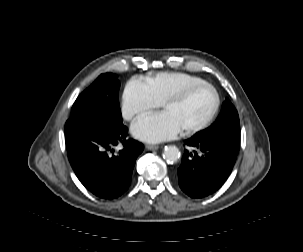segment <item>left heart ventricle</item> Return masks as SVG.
I'll return each instance as SVG.
<instances>
[{
    "label": "left heart ventricle",
    "instance_id": "b2bd125f",
    "mask_svg": "<svg viewBox=\"0 0 303 252\" xmlns=\"http://www.w3.org/2000/svg\"><path fill=\"white\" fill-rule=\"evenodd\" d=\"M214 105L210 90L194 92L182 104L169 106L166 112L172 116L178 127L191 129L204 123L210 116Z\"/></svg>",
    "mask_w": 303,
    "mask_h": 252
}]
</instances>
